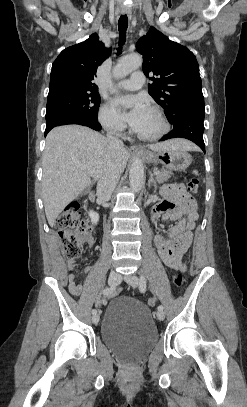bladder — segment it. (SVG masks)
<instances>
[{"label":"bladder","instance_id":"31cf9c89","mask_svg":"<svg viewBox=\"0 0 247 407\" xmlns=\"http://www.w3.org/2000/svg\"><path fill=\"white\" fill-rule=\"evenodd\" d=\"M158 338L150 310L142 302L120 297L107 305L101 340L123 360L141 361L155 347Z\"/></svg>","mask_w":247,"mask_h":407}]
</instances>
